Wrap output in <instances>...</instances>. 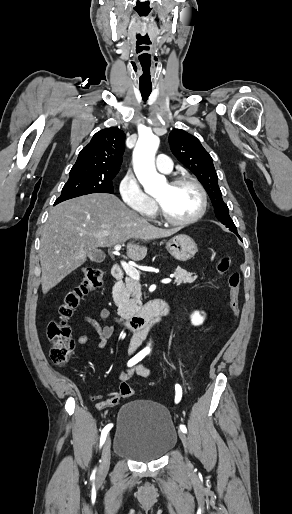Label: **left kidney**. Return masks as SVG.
<instances>
[{
  "mask_svg": "<svg viewBox=\"0 0 292 514\" xmlns=\"http://www.w3.org/2000/svg\"><path fill=\"white\" fill-rule=\"evenodd\" d=\"M201 314H204V312H194V314H192L191 322L193 326H200V324H203L204 316H201Z\"/></svg>",
  "mask_w": 292,
  "mask_h": 514,
  "instance_id": "obj_1",
  "label": "left kidney"
}]
</instances>
